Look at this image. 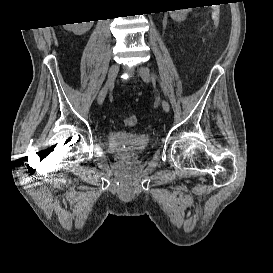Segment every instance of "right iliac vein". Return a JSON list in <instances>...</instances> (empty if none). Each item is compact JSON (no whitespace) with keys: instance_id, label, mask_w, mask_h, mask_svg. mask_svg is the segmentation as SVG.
<instances>
[{"instance_id":"right-iliac-vein-1","label":"right iliac vein","mask_w":273,"mask_h":273,"mask_svg":"<svg viewBox=\"0 0 273 273\" xmlns=\"http://www.w3.org/2000/svg\"><path fill=\"white\" fill-rule=\"evenodd\" d=\"M118 72H119V65L117 63H114L109 69L106 84L102 88V90L99 92V95L97 97V103L99 105L103 103V101H104V99H105V97L107 95L108 90L113 86Z\"/></svg>"}]
</instances>
